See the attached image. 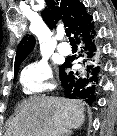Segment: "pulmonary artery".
Returning a JSON list of instances; mask_svg holds the SVG:
<instances>
[{"instance_id": "obj_1", "label": "pulmonary artery", "mask_w": 117, "mask_h": 136, "mask_svg": "<svg viewBox=\"0 0 117 136\" xmlns=\"http://www.w3.org/2000/svg\"><path fill=\"white\" fill-rule=\"evenodd\" d=\"M57 49L63 55H68L71 52L70 46L66 43H60Z\"/></svg>"}]
</instances>
